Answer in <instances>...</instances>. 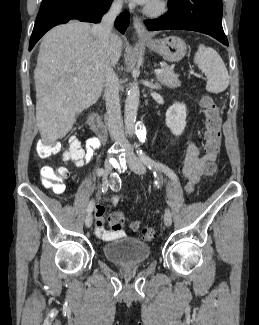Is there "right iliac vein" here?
Masks as SVG:
<instances>
[{
	"mask_svg": "<svg viewBox=\"0 0 259 325\" xmlns=\"http://www.w3.org/2000/svg\"><path fill=\"white\" fill-rule=\"evenodd\" d=\"M112 170V163L109 159H107L104 163V176H107ZM93 223V215L92 213L90 212L87 216H86V219H85V225L87 228L91 227Z\"/></svg>",
	"mask_w": 259,
	"mask_h": 325,
	"instance_id": "obj_1",
	"label": "right iliac vein"
}]
</instances>
